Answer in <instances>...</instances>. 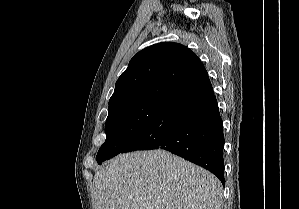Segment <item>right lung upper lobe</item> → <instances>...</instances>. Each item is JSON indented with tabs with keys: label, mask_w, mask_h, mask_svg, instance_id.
Wrapping results in <instances>:
<instances>
[{
	"label": "right lung upper lobe",
	"mask_w": 299,
	"mask_h": 209,
	"mask_svg": "<svg viewBox=\"0 0 299 209\" xmlns=\"http://www.w3.org/2000/svg\"><path fill=\"white\" fill-rule=\"evenodd\" d=\"M206 72L195 53L173 42L138 52L115 84L109 109L144 101L163 103L191 79Z\"/></svg>",
	"instance_id": "1"
}]
</instances>
